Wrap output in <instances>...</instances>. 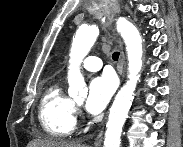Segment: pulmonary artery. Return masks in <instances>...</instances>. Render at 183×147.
<instances>
[{
    "label": "pulmonary artery",
    "mask_w": 183,
    "mask_h": 147,
    "mask_svg": "<svg viewBox=\"0 0 183 147\" xmlns=\"http://www.w3.org/2000/svg\"><path fill=\"white\" fill-rule=\"evenodd\" d=\"M82 67L88 71H98L102 67V61L96 56H89L82 62Z\"/></svg>",
    "instance_id": "obj_1"
}]
</instances>
